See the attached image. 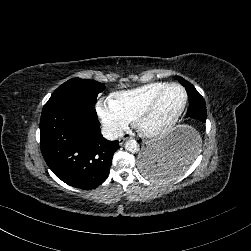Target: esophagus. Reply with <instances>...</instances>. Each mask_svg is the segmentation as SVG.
<instances>
[{
  "instance_id": "1",
  "label": "esophagus",
  "mask_w": 251,
  "mask_h": 251,
  "mask_svg": "<svg viewBox=\"0 0 251 251\" xmlns=\"http://www.w3.org/2000/svg\"><path fill=\"white\" fill-rule=\"evenodd\" d=\"M127 139H128L127 137L120 138V139H119V144H120V146H121Z\"/></svg>"
}]
</instances>
